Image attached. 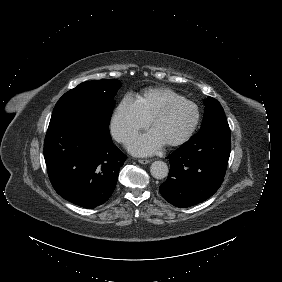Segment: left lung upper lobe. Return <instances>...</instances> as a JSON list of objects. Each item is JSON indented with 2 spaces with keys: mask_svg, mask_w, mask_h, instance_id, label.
<instances>
[{
  "mask_svg": "<svg viewBox=\"0 0 282 282\" xmlns=\"http://www.w3.org/2000/svg\"><path fill=\"white\" fill-rule=\"evenodd\" d=\"M205 113L201 128L217 122H226V116L220 103L212 98L207 97L204 100Z\"/></svg>",
  "mask_w": 282,
  "mask_h": 282,
  "instance_id": "left-lung-upper-lobe-1",
  "label": "left lung upper lobe"
}]
</instances>
